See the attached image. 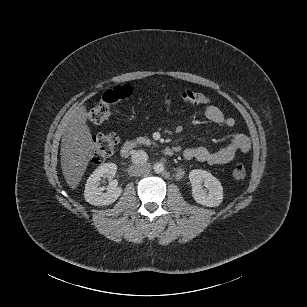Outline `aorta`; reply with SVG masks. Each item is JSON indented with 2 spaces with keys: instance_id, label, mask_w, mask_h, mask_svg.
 Returning <instances> with one entry per match:
<instances>
[{
  "instance_id": "obj_1",
  "label": "aorta",
  "mask_w": 307,
  "mask_h": 307,
  "mask_svg": "<svg viewBox=\"0 0 307 307\" xmlns=\"http://www.w3.org/2000/svg\"><path fill=\"white\" fill-rule=\"evenodd\" d=\"M153 170L155 173L157 174H162L164 172V165L161 164V163H156L154 166H153Z\"/></svg>"
}]
</instances>
